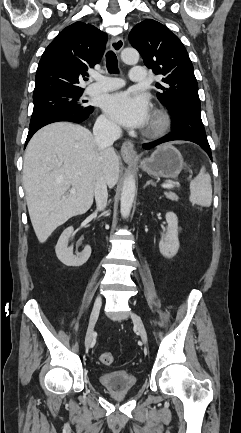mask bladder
<instances>
[{"instance_id":"1","label":"bladder","mask_w":241,"mask_h":433,"mask_svg":"<svg viewBox=\"0 0 241 433\" xmlns=\"http://www.w3.org/2000/svg\"><path fill=\"white\" fill-rule=\"evenodd\" d=\"M100 384L115 393L126 392L136 387V377L126 371H111L99 376Z\"/></svg>"}]
</instances>
